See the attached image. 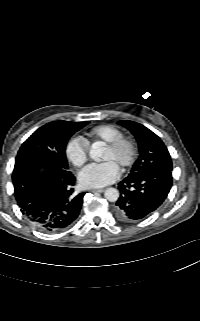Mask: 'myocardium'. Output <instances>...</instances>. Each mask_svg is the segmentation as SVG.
Returning a JSON list of instances; mask_svg holds the SVG:
<instances>
[{
  "instance_id": "1",
  "label": "myocardium",
  "mask_w": 200,
  "mask_h": 321,
  "mask_svg": "<svg viewBox=\"0 0 200 321\" xmlns=\"http://www.w3.org/2000/svg\"><path fill=\"white\" fill-rule=\"evenodd\" d=\"M124 146L128 148L129 153L126 160L120 166L123 170L130 168L137 158L138 149L135 141L129 137L122 136L106 144V148L111 151H118Z\"/></svg>"
}]
</instances>
